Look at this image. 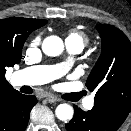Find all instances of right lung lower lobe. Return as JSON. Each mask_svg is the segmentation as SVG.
<instances>
[{
    "mask_svg": "<svg viewBox=\"0 0 131 131\" xmlns=\"http://www.w3.org/2000/svg\"><path fill=\"white\" fill-rule=\"evenodd\" d=\"M34 95L18 94L0 107V131H24L31 109L36 105Z\"/></svg>",
    "mask_w": 131,
    "mask_h": 131,
    "instance_id": "obj_1",
    "label": "right lung lower lobe"
}]
</instances>
